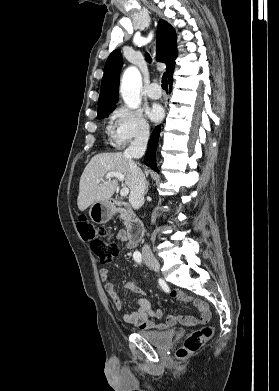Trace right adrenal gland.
Returning <instances> with one entry per match:
<instances>
[{"label":"right adrenal gland","instance_id":"2a0ac1e0","mask_svg":"<svg viewBox=\"0 0 279 391\" xmlns=\"http://www.w3.org/2000/svg\"><path fill=\"white\" fill-rule=\"evenodd\" d=\"M148 190H149V181L146 182L145 194H147Z\"/></svg>","mask_w":279,"mask_h":391}]
</instances>
